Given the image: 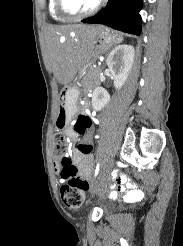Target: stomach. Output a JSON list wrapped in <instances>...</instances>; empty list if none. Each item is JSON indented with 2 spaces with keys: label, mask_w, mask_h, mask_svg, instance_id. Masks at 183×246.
<instances>
[{
  "label": "stomach",
  "mask_w": 183,
  "mask_h": 246,
  "mask_svg": "<svg viewBox=\"0 0 183 246\" xmlns=\"http://www.w3.org/2000/svg\"><path fill=\"white\" fill-rule=\"evenodd\" d=\"M122 41L121 35L101 27L95 37L93 54L105 51L110 45ZM79 91L75 87H65L60 94L59 110L56 118V126L65 128L69 126L78 110L77 99Z\"/></svg>",
  "instance_id": "1"
}]
</instances>
